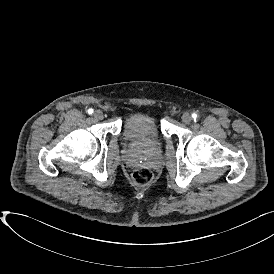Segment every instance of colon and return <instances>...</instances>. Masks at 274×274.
Listing matches in <instances>:
<instances>
[{
  "mask_svg": "<svg viewBox=\"0 0 274 274\" xmlns=\"http://www.w3.org/2000/svg\"><path fill=\"white\" fill-rule=\"evenodd\" d=\"M154 176L149 168H139L132 174V182L138 187H146L153 182Z\"/></svg>",
  "mask_w": 274,
  "mask_h": 274,
  "instance_id": "5ec220e1",
  "label": "colon"
}]
</instances>
